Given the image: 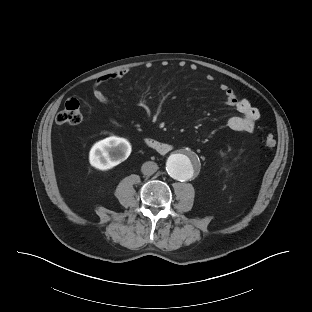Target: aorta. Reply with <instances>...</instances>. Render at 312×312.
<instances>
[{
	"instance_id": "aorta-1",
	"label": "aorta",
	"mask_w": 312,
	"mask_h": 312,
	"mask_svg": "<svg viewBox=\"0 0 312 312\" xmlns=\"http://www.w3.org/2000/svg\"><path fill=\"white\" fill-rule=\"evenodd\" d=\"M197 165L198 158L194 154H174L168 158L166 170L172 178L185 181L193 176Z\"/></svg>"
}]
</instances>
